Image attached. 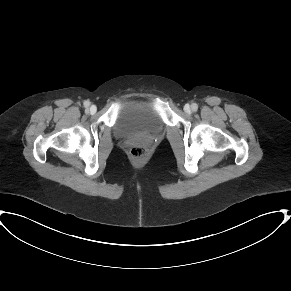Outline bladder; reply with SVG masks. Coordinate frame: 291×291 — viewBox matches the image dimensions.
I'll return each instance as SVG.
<instances>
[{"label": "bladder", "mask_w": 291, "mask_h": 291, "mask_svg": "<svg viewBox=\"0 0 291 291\" xmlns=\"http://www.w3.org/2000/svg\"><path fill=\"white\" fill-rule=\"evenodd\" d=\"M163 128L164 122L156 107L138 100L124 103L113 124L114 133L121 139L159 134Z\"/></svg>", "instance_id": "bladder-1"}]
</instances>
